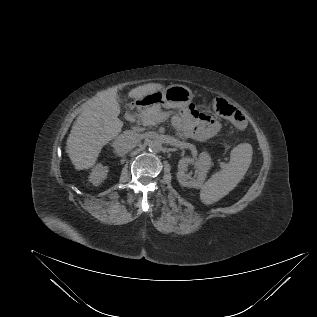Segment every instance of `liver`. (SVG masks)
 I'll return each instance as SVG.
<instances>
[{"label":"liver","mask_w":317,"mask_h":317,"mask_svg":"<svg viewBox=\"0 0 317 317\" xmlns=\"http://www.w3.org/2000/svg\"><path fill=\"white\" fill-rule=\"evenodd\" d=\"M163 88L161 84L148 83L132 89L128 96L140 100ZM118 89L121 87L99 92L75 120L66 143V153L75 169L93 167L103 146L121 132L123 122L118 118L121 110L117 100Z\"/></svg>","instance_id":"liver-1"}]
</instances>
